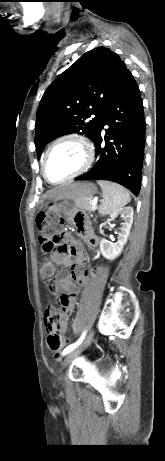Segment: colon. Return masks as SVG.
<instances>
[{
    "instance_id": "1",
    "label": "colon",
    "mask_w": 165,
    "mask_h": 461,
    "mask_svg": "<svg viewBox=\"0 0 165 461\" xmlns=\"http://www.w3.org/2000/svg\"><path fill=\"white\" fill-rule=\"evenodd\" d=\"M60 211L61 210L56 206H52L46 212L39 213L36 218V225L41 234V246L47 253L68 251V247L65 243V236L60 232V227L63 223V217L62 213H59ZM40 273L42 279H50L55 273L53 264L49 260H43ZM47 342L52 351L66 348L68 345L67 340H63L60 334L54 330L49 333Z\"/></svg>"
}]
</instances>
